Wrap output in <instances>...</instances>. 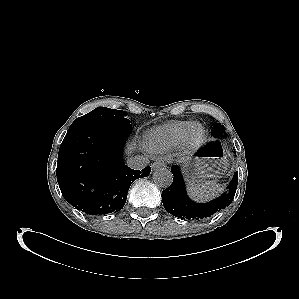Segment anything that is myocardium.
<instances>
[{
  "label": "myocardium",
  "mask_w": 299,
  "mask_h": 299,
  "mask_svg": "<svg viewBox=\"0 0 299 299\" xmlns=\"http://www.w3.org/2000/svg\"><path fill=\"white\" fill-rule=\"evenodd\" d=\"M194 127H198L200 130L199 135L195 138L192 136V130ZM205 134H206L205 128L201 123L199 122L190 123L180 142L181 150L183 154L190 155L194 153L196 150H198L199 147L204 142Z\"/></svg>",
  "instance_id": "1"
}]
</instances>
